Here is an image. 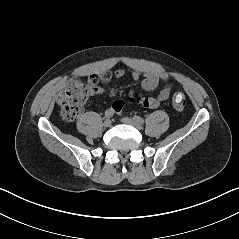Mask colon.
<instances>
[{"label": "colon", "instance_id": "obj_1", "mask_svg": "<svg viewBox=\"0 0 239 239\" xmlns=\"http://www.w3.org/2000/svg\"><path fill=\"white\" fill-rule=\"evenodd\" d=\"M96 84L94 77L84 82L79 79H71L66 88L58 97L60 113L64 120L73 121L82 112L84 103L91 94L92 87ZM185 106V96L181 92H176L173 96V107L176 112L183 111Z\"/></svg>", "mask_w": 239, "mask_h": 239}]
</instances>
